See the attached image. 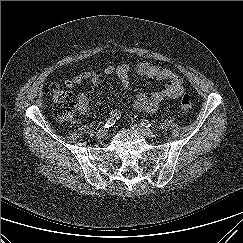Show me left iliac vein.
<instances>
[{
	"label": "left iliac vein",
	"instance_id": "obj_1",
	"mask_svg": "<svg viewBox=\"0 0 243 243\" xmlns=\"http://www.w3.org/2000/svg\"><path fill=\"white\" fill-rule=\"evenodd\" d=\"M129 125L133 129H135L136 131H138L139 133L143 134L146 137L151 138V137H154L155 136V134H154V132L152 130L146 128L145 126H143L141 124H137V123L131 122V123H129Z\"/></svg>",
	"mask_w": 243,
	"mask_h": 243
}]
</instances>
